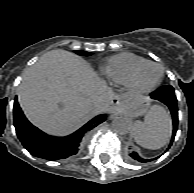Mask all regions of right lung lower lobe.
<instances>
[{
  "label": "right lung lower lobe",
  "instance_id": "right-lung-lower-lobe-1",
  "mask_svg": "<svg viewBox=\"0 0 194 193\" xmlns=\"http://www.w3.org/2000/svg\"><path fill=\"white\" fill-rule=\"evenodd\" d=\"M13 115L16 133L23 146L30 154L51 161L65 159L77 154L85 133L105 120V115L97 116L70 136L54 138L45 134L27 120L17 100L14 103Z\"/></svg>",
  "mask_w": 194,
  "mask_h": 193
}]
</instances>
